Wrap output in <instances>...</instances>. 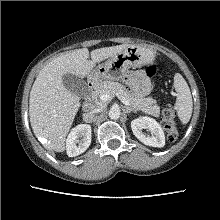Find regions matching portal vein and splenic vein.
Masks as SVG:
<instances>
[{
  "instance_id": "portal-vein-and-splenic-vein-1",
  "label": "portal vein and splenic vein",
  "mask_w": 220,
  "mask_h": 220,
  "mask_svg": "<svg viewBox=\"0 0 220 220\" xmlns=\"http://www.w3.org/2000/svg\"><path fill=\"white\" fill-rule=\"evenodd\" d=\"M116 95L118 96V98L121 100L123 104L130 105L129 101L121 93H117ZM112 98L113 96L110 95L109 93H104L100 96V101L103 103H106V102L111 101Z\"/></svg>"
}]
</instances>
